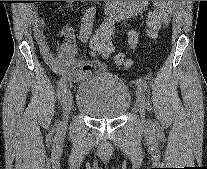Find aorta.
I'll list each match as a JSON object with an SVG mask.
<instances>
[{
	"mask_svg": "<svg viewBox=\"0 0 207 169\" xmlns=\"http://www.w3.org/2000/svg\"><path fill=\"white\" fill-rule=\"evenodd\" d=\"M133 1H109L110 9L113 12L124 15L128 13L132 7Z\"/></svg>",
	"mask_w": 207,
	"mask_h": 169,
	"instance_id": "1",
	"label": "aorta"
}]
</instances>
